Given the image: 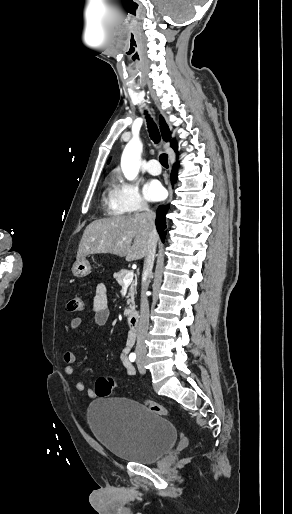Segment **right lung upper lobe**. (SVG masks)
I'll use <instances>...</instances> for the list:
<instances>
[{
  "instance_id": "cb5924a9",
  "label": "right lung upper lobe",
  "mask_w": 292,
  "mask_h": 514,
  "mask_svg": "<svg viewBox=\"0 0 292 514\" xmlns=\"http://www.w3.org/2000/svg\"><path fill=\"white\" fill-rule=\"evenodd\" d=\"M160 130L164 141H170L171 147L175 150V152H177V142L175 140H171V132L163 117H160ZM109 162L110 159L108 160V163Z\"/></svg>"
}]
</instances>
